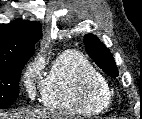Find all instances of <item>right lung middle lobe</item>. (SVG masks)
Instances as JSON below:
<instances>
[{
  "label": "right lung middle lobe",
  "mask_w": 142,
  "mask_h": 119,
  "mask_svg": "<svg viewBox=\"0 0 142 119\" xmlns=\"http://www.w3.org/2000/svg\"><path fill=\"white\" fill-rule=\"evenodd\" d=\"M29 58L0 63V109L18 98V83L21 71Z\"/></svg>",
  "instance_id": "right-lung-middle-lobe-1"
}]
</instances>
